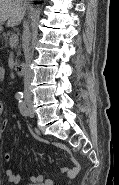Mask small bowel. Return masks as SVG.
Wrapping results in <instances>:
<instances>
[{
    "label": "small bowel",
    "mask_w": 119,
    "mask_h": 185,
    "mask_svg": "<svg viewBox=\"0 0 119 185\" xmlns=\"http://www.w3.org/2000/svg\"><path fill=\"white\" fill-rule=\"evenodd\" d=\"M4 77H5V70H4V68H0V80H3ZM3 111H4L3 104L0 103V112L3 113ZM8 124L9 123L7 120L2 121V126H1L2 132L6 131ZM34 136L39 141H41L43 143H47V141H45L41 137H39L35 134H34ZM54 145H55V147L70 153V150L64 144L55 143ZM3 158L6 162H9L11 160L12 156L9 152H4ZM61 171H62V173L66 174L68 180L71 182L72 180H74L77 177V175L80 171V164L78 163V161L76 159L72 158V166L71 167H63L61 169ZM5 176L12 183H19L21 181V176L15 174L11 169L5 170ZM30 179L32 182L42 183V185H54V183L51 179H45L42 174L33 175V176H31Z\"/></svg>",
    "instance_id": "1"
}]
</instances>
